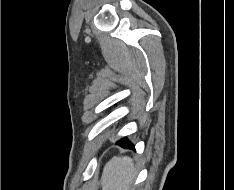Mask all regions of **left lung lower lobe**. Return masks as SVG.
<instances>
[{
	"mask_svg": "<svg viewBox=\"0 0 234 190\" xmlns=\"http://www.w3.org/2000/svg\"><path fill=\"white\" fill-rule=\"evenodd\" d=\"M119 146L123 148H128V149H134V146L132 145L131 142H129L126 138H122L121 140L117 141Z\"/></svg>",
	"mask_w": 234,
	"mask_h": 190,
	"instance_id": "1",
	"label": "left lung lower lobe"
}]
</instances>
